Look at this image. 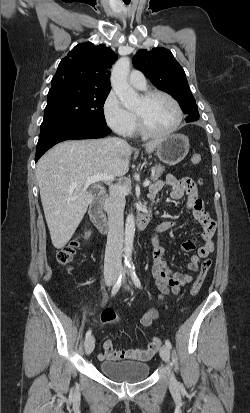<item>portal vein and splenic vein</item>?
Here are the masks:
<instances>
[{
	"mask_svg": "<svg viewBox=\"0 0 250 413\" xmlns=\"http://www.w3.org/2000/svg\"><path fill=\"white\" fill-rule=\"evenodd\" d=\"M114 180V177L113 176H111V175H108V174H98V175H95V176H92V177H88L87 179H86V186H89V185H91V184H93V183H95V182H100V181H113ZM150 184V181L149 180H145L144 181V183H143V186L144 187H147L148 185Z\"/></svg>",
	"mask_w": 250,
	"mask_h": 413,
	"instance_id": "18ae733b",
	"label": "portal vein and splenic vein"
}]
</instances>
